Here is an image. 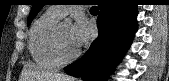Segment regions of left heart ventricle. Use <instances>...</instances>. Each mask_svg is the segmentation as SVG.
Instances as JSON below:
<instances>
[{"instance_id": "left-heart-ventricle-1", "label": "left heart ventricle", "mask_w": 169, "mask_h": 81, "mask_svg": "<svg viewBox=\"0 0 169 81\" xmlns=\"http://www.w3.org/2000/svg\"><path fill=\"white\" fill-rule=\"evenodd\" d=\"M60 44L65 54H70L76 49L71 42L70 23H64L60 25Z\"/></svg>"}]
</instances>
